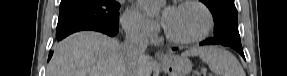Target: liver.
Returning a JSON list of instances; mask_svg holds the SVG:
<instances>
[{
  "instance_id": "obj_1",
  "label": "liver",
  "mask_w": 287,
  "mask_h": 76,
  "mask_svg": "<svg viewBox=\"0 0 287 76\" xmlns=\"http://www.w3.org/2000/svg\"><path fill=\"white\" fill-rule=\"evenodd\" d=\"M153 60L146 56L132 69L134 76H151ZM47 76H127L122 45L93 31H81L63 39L54 49Z\"/></svg>"
}]
</instances>
